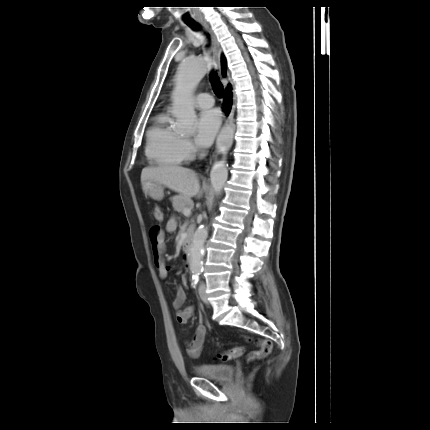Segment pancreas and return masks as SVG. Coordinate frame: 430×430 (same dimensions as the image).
Instances as JSON below:
<instances>
[{"instance_id": "pancreas-1", "label": "pancreas", "mask_w": 430, "mask_h": 430, "mask_svg": "<svg viewBox=\"0 0 430 430\" xmlns=\"http://www.w3.org/2000/svg\"><path fill=\"white\" fill-rule=\"evenodd\" d=\"M173 208L177 212L183 213L184 209L188 208V206L191 204L190 198H187L183 195H176L171 198Z\"/></svg>"}]
</instances>
